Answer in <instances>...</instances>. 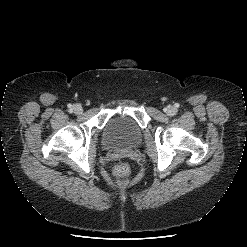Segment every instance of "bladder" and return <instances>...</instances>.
I'll return each mask as SVG.
<instances>
[{"instance_id":"obj_1","label":"bladder","mask_w":247,"mask_h":247,"mask_svg":"<svg viewBox=\"0 0 247 247\" xmlns=\"http://www.w3.org/2000/svg\"><path fill=\"white\" fill-rule=\"evenodd\" d=\"M142 138V130L130 117L114 116L103 132V143L110 148H129L137 145Z\"/></svg>"}]
</instances>
